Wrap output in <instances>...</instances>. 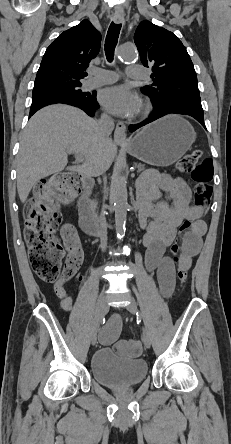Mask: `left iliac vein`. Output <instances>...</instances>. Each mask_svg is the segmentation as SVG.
<instances>
[{"label":"left iliac vein","instance_id":"left-iliac-vein-1","mask_svg":"<svg viewBox=\"0 0 231 444\" xmlns=\"http://www.w3.org/2000/svg\"><path fill=\"white\" fill-rule=\"evenodd\" d=\"M129 301L130 302L127 304L126 309L131 314L135 315L138 311L137 305L131 296L129 297ZM142 341H143L146 348H150L151 338H150L149 332L145 328L143 329V333H142Z\"/></svg>","mask_w":231,"mask_h":444}]
</instances>
